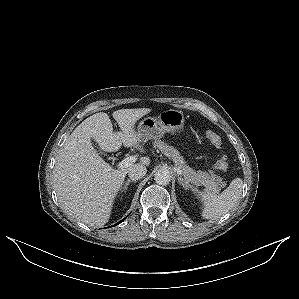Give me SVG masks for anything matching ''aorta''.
Returning a JSON list of instances; mask_svg holds the SVG:
<instances>
[{
	"mask_svg": "<svg viewBox=\"0 0 299 299\" xmlns=\"http://www.w3.org/2000/svg\"><path fill=\"white\" fill-rule=\"evenodd\" d=\"M154 180L159 185H168L171 181L170 172L167 169H159L155 172Z\"/></svg>",
	"mask_w": 299,
	"mask_h": 299,
	"instance_id": "1",
	"label": "aorta"
}]
</instances>
